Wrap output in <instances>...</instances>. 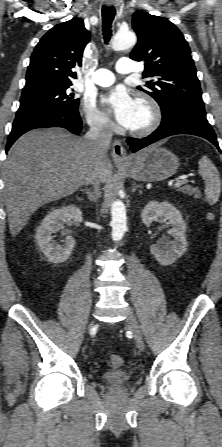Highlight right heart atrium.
Masks as SVG:
<instances>
[{"label": "right heart atrium", "mask_w": 222, "mask_h": 447, "mask_svg": "<svg viewBox=\"0 0 222 447\" xmlns=\"http://www.w3.org/2000/svg\"><path fill=\"white\" fill-rule=\"evenodd\" d=\"M80 115L92 129L99 132H110L113 130L112 122L90 103H85L81 106Z\"/></svg>", "instance_id": "d8ad5b80"}]
</instances>
